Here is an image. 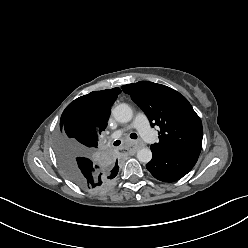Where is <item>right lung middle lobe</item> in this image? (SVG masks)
I'll return each mask as SVG.
<instances>
[{
	"label": "right lung middle lobe",
	"mask_w": 248,
	"mask_h": 248,
	"mask_svg": "<svg viewBox=\"0 0 248 248\" xmlns=\"http://www.w3.org/2000/svg\"><path fill=\"white\" fill-rule=\"evenodd\" d=\"M87 133L75 120L60 122L57 135V152L65 174L79 186L100 190L108 187L117 173L111 171L108 161L85 151L81 145H89ZM84 157L87 159H79Z\"/></svg>",
	"instance_id": "right-lung-middle-lobe-1"
}]
</instances>
